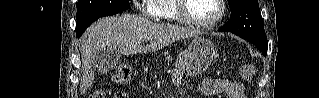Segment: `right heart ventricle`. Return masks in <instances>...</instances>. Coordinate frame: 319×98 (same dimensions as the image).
<instances>
[{
    "instance_id": "right-heart-ventricle-1",
    "label": "right heart ventricle",
    "mask_w": 319,
    "mask_h": 98,
    "mask_svg": "<svg viewBox=\"0 0 319 98\" xmlns=\"http://www.w3.org/2000/svg\"><path fill=\"white\" fill-rule=\"evenodd\" d=\"M146 8L152 11L159 19L181 22L176 9V0H147Z\"/></svg>"
}]
</instances>
